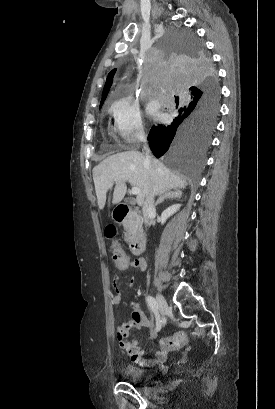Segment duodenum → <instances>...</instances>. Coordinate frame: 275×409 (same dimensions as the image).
I'll return each instance as SVG.
<instances>
[{"label":"duodenum","instance_id":"obj_1","mask_svg":"<svg viewBox=\"0 0 275 409\" xmlns=\"http://www.w3.org/2000/svg\"><path fill=\"white\" fill-rule=\"evenodd\" d=\"M133 215L132 208L124 203L118 204L114 210L113 216L116 222L124 223ZM146 247V235L140 228L132 231L130 238V249L133 254L140 255Z\"/></svg>","mask_w":275,"mask_h":409}]
</instances>
